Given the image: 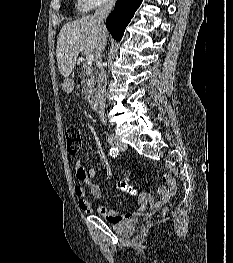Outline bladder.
<instances>
[{"label": "bladder", "mask_w": 233, "mask_h": 263, "mask_svg": "<svg viewBox=\"0 0 233 263\" xmlns=\"http://www.w3.org/2000/svg\"><path fill=\"white\" fill-rule=\"evenodd\" d=\"M136 227V219L129 218L112 225L113 230L120 235H131Z\"/></svg>", "instance_id": "obj_1"}]
</instances>
